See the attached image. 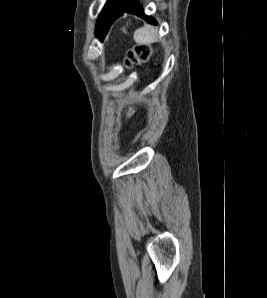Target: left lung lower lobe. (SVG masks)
<instances>
[{
	"label": "left lung lower lobe",
	"mask_w": 267,
	"mask_h": 298,
	"mask_svg": "<svg viewBox=\"0 0 267 298\" xmlns=\"http://www.w3.org/2000/svg\"><path fill=\"white\" fill-rule=\"evenodd\" d=\"M133 13L144 18L148 23L155 24L153 18L144 14L142 7L135 0H122L103 9L96 24V34L99 38H103L107 34L113 22L123 13Z\"/></svg>",
	"instance_id": "0a47b994"
}]
</instances>
